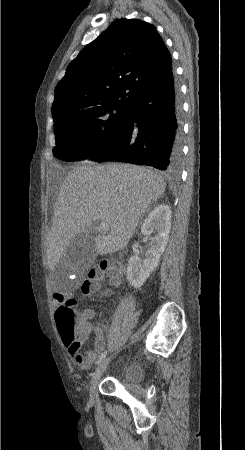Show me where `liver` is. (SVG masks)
I'll return each instance as SVG.
<instances>
[{
  "label": "liver",
  "instance_id": "liver-1",
  "mask_svg": "<svg viewBox=\"0 0 245 450\" xmlns=\"http://www.w3.org/2000/svg\"><path fill=\"white\" fill-rule=\"evenodd\" d=\"M165 187L160 175L132 164L81 165L69 171L47 237L49 268L54 270L75 237L89 235L97 222L107 223L110 230L94 237L95 253L102 256L124 249Z\"/></svg>",
  "mask_w": 245,
  "mask_h": 450
}]
</instances>
